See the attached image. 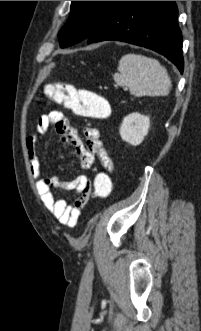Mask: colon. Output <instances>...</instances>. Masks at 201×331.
I'll return each mask as SVG.
<instances>
[{"label":"colon","mask_w":201,"mask_h":331,"mask_svg":"<svg viewBox=\"0 0 201 331\" xmlns=\"http://www.w3.org/2000/svg\"><path fill=\"white\" fill-rule=\"evenodd\" d=\"M44 94L55 103L65 106L82 117L103 119L110 113V107L105 98L92 91L78 89L71 84L59 82L48 84ZM112 185L111 176L100 171L95 176L90 196L98 199L107 198L112 192Z\"/></svg>","instance_id":"colon-1"}]
</instances>
